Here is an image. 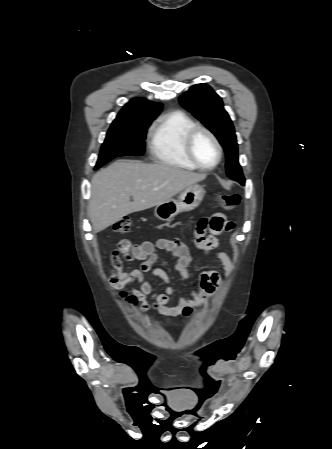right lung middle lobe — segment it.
<instances>
[{
    "instance_id": "right-lung-middle-lobe-1",
    "label": "right lung middle lobe",
    "mask_w": 332,
    "mask_h": 449,
    "mask_svg": "<svg viewBox=\"0 0 332 449\" xmlns=\"http://www.w3.org/2000/svg\"><path fill=\"white\" fill-rule=\"evenodd\" d=\"M154 119L127 118L115 119L101 146L95 169L118 156H141L144 154L147 128Z\"/></svg>"
}]
</instances>
